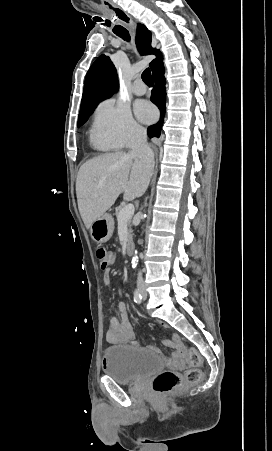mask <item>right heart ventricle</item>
I'll list each match as a JSON object with an SVG mask.
<instances>
[{
    "label": "right heart ventricle",
    "mask_w": 272,
    "mask_h": 451,
    "mask_svg": "<svg viewBox=\"0 0 272 451\" xmlns=\"http://www.w3.org/2000/svg\"><path fill=\"white\" fill-rule=\"evenodd\" d=\"M103 146H105V147H111L110 145H103Z\"/></svg>",
    "instance_id": "right-heart-ventricle-1"
}]
</instances>
